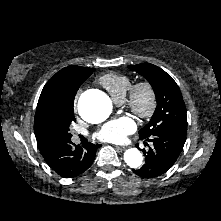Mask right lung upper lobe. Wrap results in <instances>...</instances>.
<instances>
[{
  "mask_svg": "<svg viewBox=\"0 0 221 221\" xmlns=\"http://www.w3.org/2000/svg\"><path fill=\"white\" fill-rule=\"evenodd\" d=\"M94 68L68 66L58 71L44 86L36 112L44 107L53 106L60 102L72 101L80 85L93 73ZM34 131L40 151H44L55 141L48 137L34 121Z\"/></svg>",
  "mask_w": 221,
  "mask_h": 221,
  "instance_id": "obj_1",
  "label": "right lung upper lobe"
}]
</instances>
